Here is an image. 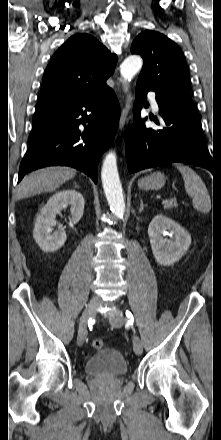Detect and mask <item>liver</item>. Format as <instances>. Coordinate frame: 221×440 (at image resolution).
<instances>
[{
	"label": "liver",
	"mask_w": 221,
	"mask_h": 440,
	"mask_svg": "<svg viewBox=\"0 0 221 440\" xmlns=\"http://www.w3.org/2000/svg\"><path fill=\"white\" fill-rule=\"evenodd\" d=\"M70 167H48L24 177L17 188L18 199L55 191L60 185L76 175Z\"/></svg>",
	"instance_id": "liver-1"
}]
</instances>
